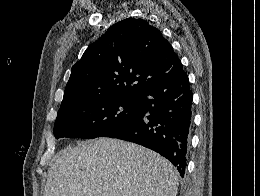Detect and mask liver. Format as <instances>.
<instances>
[{
	"label": "liver",
	"mask_w": 260,
	"mask_h": 196,
	"mask_svg": "<svg viewBox=\"0 0 260 196\" xmlns=\"http://www.w3.org/2000/svg\"><path fill=\"white\" fill-rule=\"evenodd\" d=\"M178 172L157 152L111 138L61 150L44 196H177Z\"/></svg>",
	"instance_id": "6515ba94"
}]
</instances>
